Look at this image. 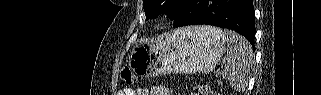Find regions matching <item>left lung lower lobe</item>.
<instances>
[{"label": "left lung lower lobe", "instance_id": "left-lung-lower-lobe-1", "mask_svg": "<svg viewBox=\"0 0 321 95\" xmlns=\"http://www.w3.org/2000/svg\"><path fill=\"white\" fill-rule=\"evenodd\" d=\"M172 20L175 26L206 24L232 29L246 37L254 47L252 0H187Z\"/></svg>", "mask_w": 321, "mask_h": 95}]
</instances>
